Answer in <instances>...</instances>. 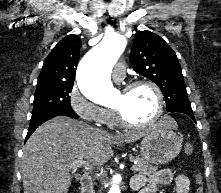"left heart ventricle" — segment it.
I'll return each mask as SVG.
<instances>
[{
	"label": "left heart ventricle",
	"mask_w": 221,
	"mask_h": 193,
	"mask_svg": "<svg viewBox=\"0 0 221 193\" xmlns=\"http://www.w3.org/2000/svg\"><path fill=\"white\" fill-rule=\"evenodd\" d=\"M114 107L120 108L128 120L137 123L147 122L156 111L157 100L148 86H138L130 91H121Z\"/></svg>",
	"instance_id": "obj_1"
}]
</instances>
